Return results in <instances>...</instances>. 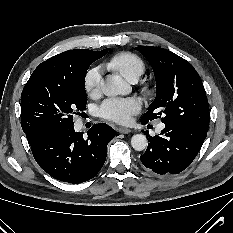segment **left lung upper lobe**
<instances>
[{"instance_id": "1", "label": "left lung upper lobe", "mask_w": 233, "mask_h": 233, "mask_svg": "<svg viewBox=\"0 0 233 233\" xmlns=\"http://www.w3.org/2000/svg\"><path fill=\"white\" fill-rule=\"evenodd\" d=\"M152 66L156 97L141 122L161 118L164 124L190 125L208 132L209 106L202 81L193 66L164 48L136 47Z\"/></svg>"}]
</instances>
